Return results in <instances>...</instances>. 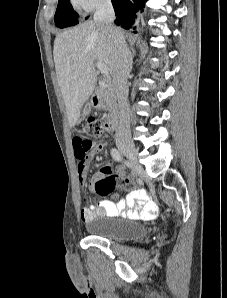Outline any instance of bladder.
Masks as SVG:
<instances>
[{"label":"bladder","instance_id":"bladder-1","mask_svg":"<svg viewBox=\"0 0 227 298\" xmlns=\"http://www.w3.org/2000/svg\"><path fill=\"white\" fill-rule=\"evenodd\" d=\"M86 230L91 236L114 241H129L143 238L147 228L138 222L127 219H107L97 217L86 224Z\"/></svg>","mask_w":227,"mask_h":298}]
</instances>
